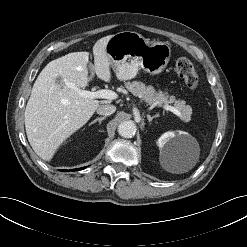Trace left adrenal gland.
I'll return each instance as SVG.
<instances>
[{
    "mask_svg": "<svg viewBox=\"0 0 247 247\" xmlns=\"http://www.w3.org/2000/svg\"><path fill=\"white\" fill-rule=\"evenodd\" d=\"M156 117H158V115H154V116L147 115L148 122L150 123Z\"/></svg>",
    "mask_w": 247,
    "mask_h": 247,
    "instance_id": "left-adrenal-gland-1",
    "label": "left adrenal gland"
}]
</instances>
